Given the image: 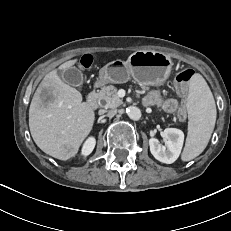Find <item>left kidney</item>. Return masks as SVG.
<instances>
[{"label": "left kidney", "mask_w": 231, "mask_h": 231, "mask_svg": "<svg viewBox=\"0 0 231 231\" xmlns=\"http://www.w3.org/2000/svg\"><path fill=\"white\" fill-rule=\"evenodd\" d=\"M163 138L165 146H162L156 138L149 139L150 152L158 161L171 164L177 160L181 153L184 133L177 128H166Z\"/></svg>", "instance_id": "1"}]
</instances>
